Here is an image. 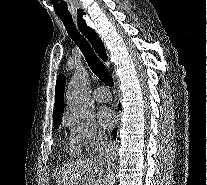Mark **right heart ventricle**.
Returning <instances> with one entry per match:
<instances>
[{
  "mask_svg": "<svg viewBox=\"0 0 207 185\" xmlns=\"http://www.w3.org/2000/svg\"><path fill=\"white\" fill-rule=\"evenodd\" d=\"M69 148H70V152L72 154H79V145L78 142H76L75 140H72L71 143L69 144Z\"/></svg>",
  "mask_w": 207,
  "mask_h": 185,
  "instance_id": "e07e8e85",
  "label": "right heart ventricle"
}]
</instances>
